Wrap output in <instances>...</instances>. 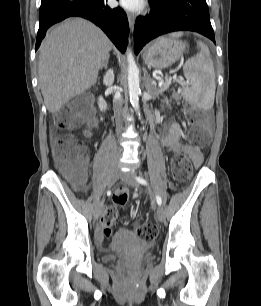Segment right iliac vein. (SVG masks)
<instances>
[{
  "label": "right iliac vein",
  "mask_w": 261,
  "mask_h": 306,
  "mask_svg": "<svg viewBox=\"0 0 261 306\" xmlns=\"http://www.w3.org/2000/svg\"><path fill=\"white\" fill-rule=\"evenodd\" d=\"M119 175H120L119 167L117 165H114L110 170L109 186L113 185L116 182ZM102 210H103V204H102L101 201H99L98 204H97L95 213H94V218L95 219H98L101 216Z\"/></svg>",
  "instance_id": "63e3f726"
}]
</instances>
